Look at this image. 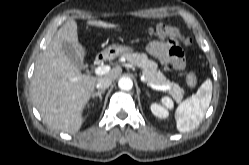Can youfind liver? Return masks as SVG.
Instances as JSON below:
<instances>
[{
  "label": "liver",
  "mask_w": 249,
  "mask_h": 165,
  "mask_svg": "<svg viewBox=\"0 0 249 165\" xmlns=\"http://www.w3.org/2000/svg\"><path fill=\"white\" fill-rule=\"evenodd\" d=\"M88 25L116 28L117 25L89 20ZM72 44L77 55L83 59L85 48L78 41L75 20H68L55 34L47 48L40 55L31 81V96L43 121L51 128L67 133L77 132L84 121L83 110L88 104L100 78L115 80L122 69L116 67L99 76L82 74L70 61L63 49V43Z\"/></svg>",
  "instance_id": "1"
}]
</instances>
